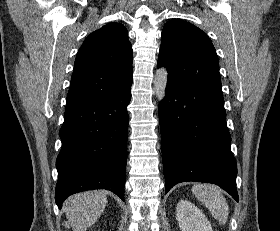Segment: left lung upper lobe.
Here are the masks:
<instances>
[{
    "instance_id": "1",
    "label": "left lung upper lobe",
    "mask_w": 280,
    "mask_h": 231,
    "mask_svg": "<svg viewBox=\"0 0 280 231\" xmlns=\"http://www.w3.org/2000/svg\"><path fill=\"white\" fill-rule=\"evenodd\" d=\"M157 65L166 67L168 81L221 89L219 60L211 40L183 20L172 19L165 24Z\"/></svg>"
}]
</instances>
